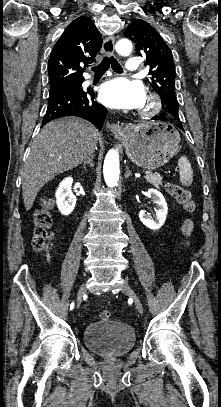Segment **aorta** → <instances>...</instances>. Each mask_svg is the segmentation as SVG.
I'll return each instance as SVG.
<instances>
[{
    "instance_id": "obj_1",
    "label": "aorta",
    "mask_w": 221,
    "mask_h": 407,
    "mask_svg": "<svg viewBox=\"0 0 221 407\" xmlns=\"http://www.w3.org/2000/svg\"><path fill=\"white\" fill-rule=\"evenodd\" d=\"M115 48L120 55H128L132 51V43L128 39H121ZM119 173V154L117 150L111 149L105 157L103 166L104 180L107 186L112 188L118 184Z\"/></svg>"
}]
</instances>
